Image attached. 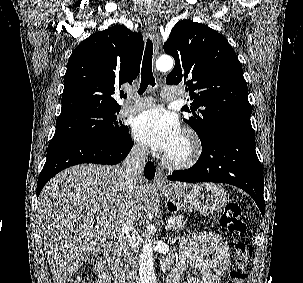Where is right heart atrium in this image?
<instances>
[{
  "instance_id": "obj_1",
  "label": "right heart atrium",
  "mask_w": 303,
  "mask_h": 283,
  "mask_svg": "<svg viewBox=\"0 0 303 283\" xmlns=\"http://www.w3.org/2000/svg\"><path fill=\"white\" fill-rule=\"evenodd\" d=\"M132 151L137 156H144L147 153L146 147L139 142L133 144Z\"/></svg>"
}]
</instances>
